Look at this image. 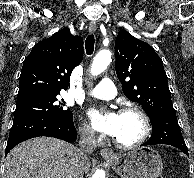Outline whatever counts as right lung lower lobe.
I'll use <instances>...</instances> for the list:
<instances>
[{
  "label": "right lung lower lobe",
  "instance_id": "obj_1",
  "mask_svg": "<svg viewBox=\"0 0 194 178\" xmlns=\"http://www.w3.org/2000/svg\"><path fill=\"white\" fill-rule=\"evenodd\" d=\"M38 136L55 137L67 142L77 138L73 117L55 119L43 114H24L14 116L10 130L5 156L17 144Z\"/></svg>",
  "mask_w": 194,
  "mask_h": 178
}]
</instances>
